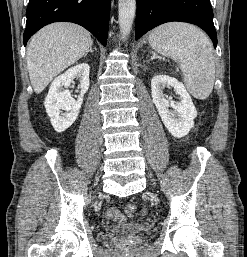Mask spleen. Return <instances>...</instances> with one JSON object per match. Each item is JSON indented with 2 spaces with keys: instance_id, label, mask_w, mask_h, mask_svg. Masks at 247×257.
Instances as JSON below:
<instances>
[{
  "instance_id": "obj_1",
  "label": "spleen",
  "mask_w": 247,
  "mask_h": 257,
  "mask_svg": "<svg viewBox=\"0 0 247 257\" xmlns=\"http://www.w3.org/2000/svg\"><path fill=\"white\" fill-rule=\"evenodd\" d=\"M149 43L158 53L180 64L193 96L206 99L210 95L215 81L213 46L200 29L187 23H166L150 33Z\"/></svg>"
}]
</instances>
